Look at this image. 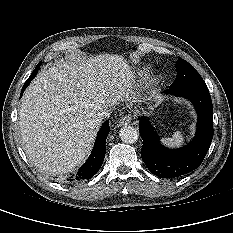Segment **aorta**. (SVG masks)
Masks as SVG:
<instances>
[{"instance_id": "obj_1", "label": "aorta", "mask_w": 233, "mask_h": 233, "mask_svg": "<svg viewBox=\"0 0 233 233\" xmlns=\"http://www.w3.org/2000/svg\"><path fill=\"white\" fill-rule=\"evenodd\" d=\"M120 139L127 144H134L139 138V132L132 126H124L119 131Z\"/></svg>"}]
</instances>
